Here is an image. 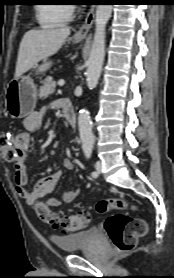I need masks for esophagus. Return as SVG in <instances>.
I'll return each instance as SVG.
<instances>
[{
  "label": "esophagus",
  "mask_w": 174,
  "mask_h": 278,
  "mask_svg": "<svg viewBox=\"0 0 174 278\" xmlns=\"http://www.w3.org/2000/svg\"><path fill=\"white\" fill-rule=\"evenodd\" d=\"M95 10L96 7L94 5L89 9L83 25L81 26V28L78 30L76 34L77 36L85 37L88 34L95 19Z\"/></svg>",
  "instance_id": "obj_1"
}]
</instances>
